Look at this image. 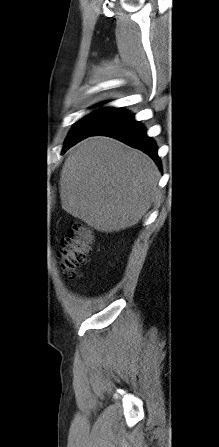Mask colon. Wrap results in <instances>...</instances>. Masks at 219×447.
Listing matches in <instances>:
<instances>
[{
  "label": "colon",
  "instance_id": "5ec220e1",
  "mask_svg": "<svg viewBox=\"0 0 219 447\" xmlns=\"http://www.w3.org/2000/svg\"><path fill=\"white\" fill-rule=\"evenodd\" d=\"M93 245L91 229L82 223L74 224L62 239L59 248L60 265L69 278L87 263Z\"/></svg>",
  "mask_w": 219,
  "mask_h": 447
}]
</instances>
